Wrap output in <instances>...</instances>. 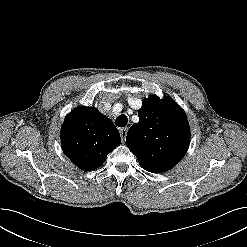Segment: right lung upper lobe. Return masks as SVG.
I'll use <instances>...</instances> for the list:
<instances>
[{"instance_id": "right-lung-upper-lobe-1", "label": "right lung upper lobe", "mask_w": 247, "mask_h": 247, "mask_svg": "<svg viewBox=\"0 0 247 247\" xmlns=\"http://www.w3.org/2000/svg\"><path fill=\"white\" fill-rule=\"evenodd\" d=\"M120 142L118 129L94 107L75 108L61 128L63 152L82 170L100 167Z\"/></svg>"}]
</instances>
